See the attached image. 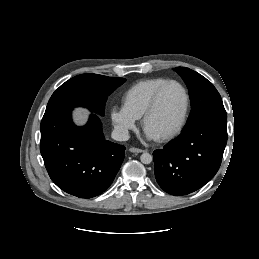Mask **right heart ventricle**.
<instances>
[{
    "label": "right heart ventricle",
    "instance_id": "1",
    "mask_svg": "<svg viewBox=\"0 0 259 259\" xmlns=\"http://www.w3.org/2000/svg\"><path fill=\"white\" fill-rule=\"evenodd\" d=\"M167 80L164 77H155L134 83L122 95L123 108L136 119L142 118L155 91Z\"/></svg>",
    "mask_w": 259,
    "mask_h": 259
}]
</instances>
